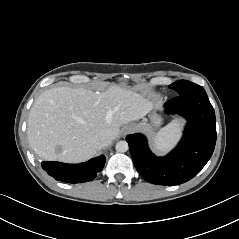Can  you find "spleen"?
I'll return each instance as SVG.
<instances>
[{
    "instance_id": "1",
    "label": "spleen",
    "mask_w": 239,
    "mask_h": 239,
    "mask_svg": "<svg viewBox=\"0 0 239 239\" xmlns=\"http://www.w3.org/2000/svg\"><path fill=\"white\" fill-rule=\"evenodd\" d=\"M181 125V122L173 121L162 128L152 138L153 148L161 153L167 152L179 138Z\"/></svg>"
}]
</instances>
